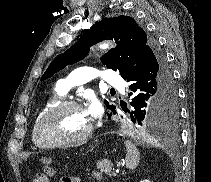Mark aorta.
Instances as JSON below:
<instances>
[{
    "label": "aorta",
    "instance_id": "762f6f07",
    "mask_svg": "<svg viewBox=\"0 0 211 182\" xmlns=\"http://www.w3.org/2000/svg\"><path fill=\"white\" fill-rule=\"evenodd\" d=\"M99 47H100L101 49H107V48H109V43H101V44L99 45Z\"/></svg>",
    "mask_w": 211,
    "mask_h": 182
}]
</instances>
